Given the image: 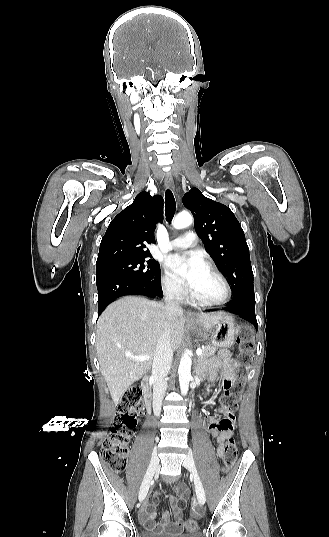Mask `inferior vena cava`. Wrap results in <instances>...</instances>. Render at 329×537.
Masks as SVG:
<instances>
[{
    "label": "inferior vena cava",
    "instance_id": "obj_1",
    "mask_svg": "<svg viewBox=\"0 0 329 537\" xmlns=\"http://www.w3.org/2000/svg\"><path fill=\"white\" fill-rule=\"evenodd\" d=\"M172 298L173 291L165 298V309L169 320L172 315L182 313L180 305L176 301H172ZM172 359L171 321H168L165 323L164 329L158 338L152 364L153 411L155 416H159L161 413L162 400L168 387L166 377L170 371Z\"/></svg>",
    "mask_w": 329,
    "mask_h": 537
}]
</instances>
